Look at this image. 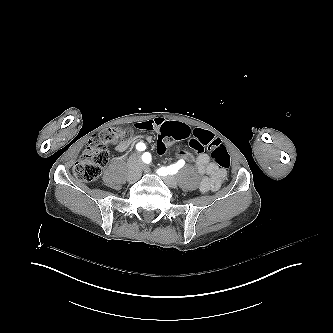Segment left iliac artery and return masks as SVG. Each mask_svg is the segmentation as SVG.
I'll list each match as a JSON object with an SVG mask.
<instances>
[{"mask_svg":"<svg viewBox=\"0 0 333 333\" xmlns=\"http://www.w3.org/2000/svg\"><path fill=\"white\" fill-rule=\"evenodd\" d=\"M142 160L149 164L151 162V154L146 152L142 155ZM185 164L184 160H179L176 164L170 165L169 167H161L157 170V173L161 176H166L167 174H175L176 170L183 167Z\"/></svg>","mask_w":333,"mask_h":333,"instance_id":"obj_1","label":"left iliac artery"}]
</instances>
